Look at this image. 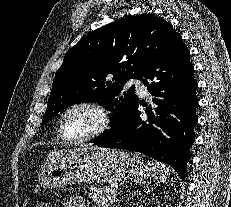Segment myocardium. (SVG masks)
Wrapping results in <instances>:
<instances>
[{"label": "myocardium", "instance_id": "myocardium-1", "mask_svg": "<svg viewBox=\"0 0 231 207\" xmlns=\"http://www.w3.org/2000/svg\"><path fill=\"white\" fill-rule=\"evenodd\" d=\"M79 107H86L92 109L98 116L99 122L98 126L89 134L82 137H70L66 133L64 122L66 116L74 109ZM112 119L109 111L99 102L93 100H80L76 101L69 106H67L60 115L59 124H58V132L60 137L70 143H84L90 140H93L97 137H100L104 133H106L111 127Z\"/></svg>", "mask_w": 231, "mask_h": 207}]
</instances>
